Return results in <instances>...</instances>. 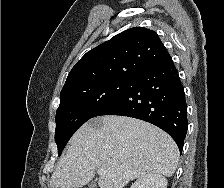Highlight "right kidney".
<instances>
[{
  "instance_id": "1",
  "label": "right kidney",
  "mask_w": 224,
  "mask_h": 188,
  "mask_svg": "<svg viewBox=\"0 0 224 188\" xmlns=\"http://www.w3.org/2000/svg\"><path fill=\"white\" fill-rule=\"evenodd\" d=\"M130 188H167V179L160 174L139 177Z\"/></svg>"
}]
</instances>
